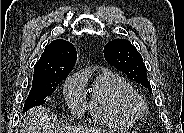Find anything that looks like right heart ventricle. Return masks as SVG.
<instances>
[{
	"mask_svg": "<svg viewBox=\"0 0 184 133\" xmlns=\"http://www.w3.org/2000/svg\"><path fill=\"white\" fill-rule=\"evenodd\" d=\"M84 83L88 74H79ZM134 93L129 82L121 76L102 70L95 76L90 88V100L88 110L99 122L125 127L135 121V117L123 108V98Z\"/></svg>",
	"mask_w": 184,
	"mask_h": 133,
	"instance_id": "right-heart-ventricle-1",
	"label": "right heart ventricle"
}]
</instances>
